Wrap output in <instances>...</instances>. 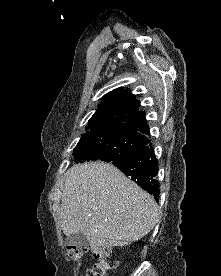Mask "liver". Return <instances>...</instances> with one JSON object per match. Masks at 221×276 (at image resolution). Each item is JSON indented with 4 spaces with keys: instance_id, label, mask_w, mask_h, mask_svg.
<instances>
[{
    "instance_id": "obj_1",
    "label": "liver",
    "mask_w": 221,
    "mask_h": 276,
    "mask_svg": "<svg viewBox=\"0 0 221 276\" xmlns=\"http://www.w3.org/2000/svg\"><path fill=\"white\" fill-rule=\"evenodd\" d=\"M155 200L115 166L103 162L67 171L60 223L66 236L82 232L93 248L140 240L157 223Z\"/></svg>"
}]
</instances>
